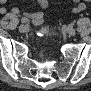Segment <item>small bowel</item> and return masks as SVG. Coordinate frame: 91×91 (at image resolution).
Segmentation results:
<instances>
[{
	"label": "small bowel",
	"instance_id": "c3829d8e",
	"mask_svg": "<svg viewBox=\"0 0 91 91\" xmlns=\"http://www.w3.org/2000/svg\"><path fill=\"white\" fill-rule=\"evenodd\" d=\"M48 3H49L48 0H38V4L42 8L47 7ZM85 8H86V5H85L84 2L77 1L74 8H73V11L74 12H81V11L85 10ZM6 11H7L6 7L2 6L0 8V13L1 14H5ZM11 11H12L13 14H16V15L22 14V12L18 8H13ZM34 17L36 18L37 22H40L41 19H42V14L41 13L35 14Z\"/></svg>",
	"mask_w": 91,
	"mask_h": 91
}]
</instances>
